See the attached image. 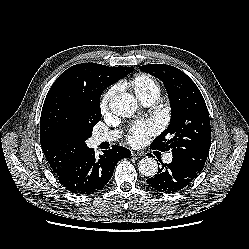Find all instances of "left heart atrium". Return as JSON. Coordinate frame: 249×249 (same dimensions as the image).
<instances>
[{
	"label": "left heart atrium",
	"mask_w": 249,
	"mask_h": 249,
	"mask_svg": "<svg viewBox=\"0 0 249 249\" xmlns=\"http://www.w3.org/2000/svg\"><path fill=\"white\" fill-rule=\"evenodd\" d=\"M158 130L159 124L154 119L137 121L129 127L126 139L132 146H143Z\"/></svg>",
	"instance_id": "left-heart-atrium-1"
}]
</instances>
